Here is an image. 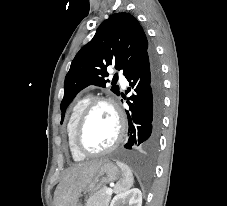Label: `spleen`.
<instances>
[{"label":"spleen","mask_w":227,"mask_h":206,"mask_svg":"<svg viewBox=\"0 0 227 206\" xmlns=\"http://www.w3.org/2000/svg\"><path fill=\"white\" fill-rule=\"evenodd\" d=\"M117 165L120 167L122 171V179L116 184L115 192L121 193L126 191L133 185L134 177L131 169L126 164L117 161Z\"/></svg>","instance_id":"spleen-1"}]
</instances>
